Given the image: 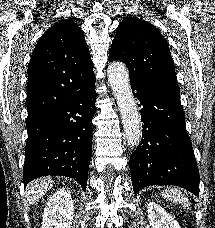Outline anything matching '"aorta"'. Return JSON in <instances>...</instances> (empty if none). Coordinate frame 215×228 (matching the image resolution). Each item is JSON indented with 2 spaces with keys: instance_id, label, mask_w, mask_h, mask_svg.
<instances>
[{
  "instance_id": "762f6f07",
  "label": "aorta",
  "mask_w": 215,
  "mask_h": 228,
  "mask_svg": "<svg viewBox=\"0 0 215 228\" xmlns=\"http://www.w3.org/2000/svg\"><path fill=\"white\" fill-rule=\"evenodd\" d=\"M107 74L121 114L127 144L130 148H135L141 142L142 124L132 94L128 68L122 62H113V64H110Z\"/></svg>"
}]
</instances>
